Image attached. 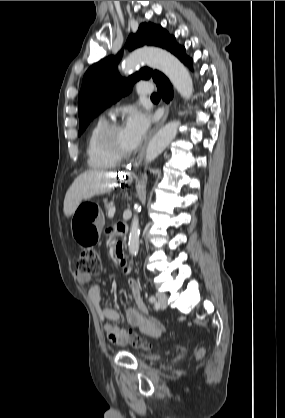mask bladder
Masks as SVG:
<instances>
[{"instance_id": "bladder-1", "label": "bladder", "mask_w": 285, "mask_h": 418, "mask_svg": "<svg viewBox=\"0 0 285 418\" xmlns=\"http://www.w3.org/2000/svg\"><path fill=\"white\" fill-rule=\"evenodd\" d=\"M137 357L141 360H144V361H155V360H157L156 357L151 356V355L140 354Z\"/></svg>"}]
</instances>
